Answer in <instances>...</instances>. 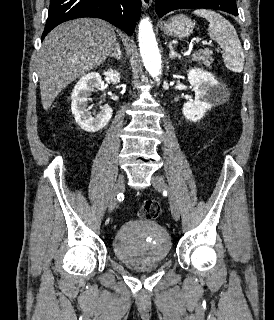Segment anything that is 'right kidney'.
<instances>
[{"instance_id": "right-kidney-1", "label": "right kidney", "mask_w": 274, "mask_h": 320, "mask_svg": "<svg viewBox=\"0 0 274 320\" xmlns=\"http://www.w3.org/2000/svg\"><path fill=\"white\" fill-rule=\"evenodd\" d=\"M103 76H105L106 80H110L112 84H119L121 80V74L118 70H107V72H103ZM101 82L100 74L91 72V74H86V76L80 78L71 94V110L75 122L84 132H89V134L99 132V130L105 128L113 114L110 106H103V108H100L101 112L93 118L91 112H88L86 108L88 100H91V92H93L94 88H99Z\"/></svg>"}]
</instances>
